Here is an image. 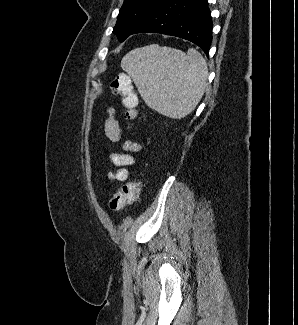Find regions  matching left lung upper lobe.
Instances as JSON below:
<instances>
[{"mask_svg": "<svg viewBox=\"0 0 298 325\" xmlns=\"http://www.w3.org/2000/svg\"><path fill=\"white\" fill-rule=\"evenodd\" d=\"M163 0H124L114 27L120 42L131 35L134 28Z\"/></svg>", "mask_w": 298, "mask_h": 325, "instance_id": "5c2ea615", "label": "left lung upper lobe"}]
</instances>
